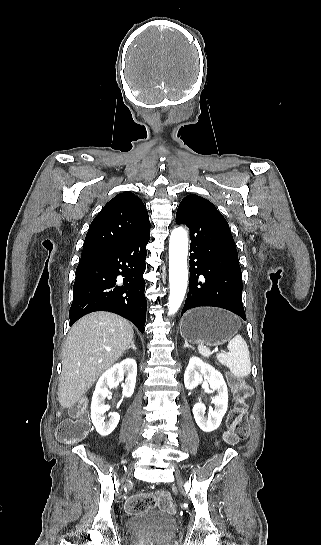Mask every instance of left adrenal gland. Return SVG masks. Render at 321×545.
Wrapping results in <instances>:
<instances>
[{"label":"left adrenal gland","instance_id":"left-adrenal-gland-1","mask_svg":"<svg viewBox=\"0 0 321 545\" xmlns=\"http://www.w3.org/2000/svg\"><path fill=\"white\" fill-rule=\"evenodd\" d=\"M184 347H189V345H188L187 341H185V345H184ZM189 349H192V347H189Z\"/></svg>","mask_w":321,"mask_h":545}]
</instances>
